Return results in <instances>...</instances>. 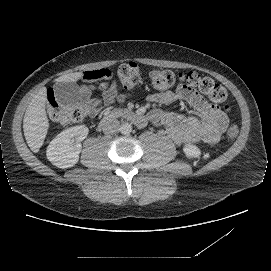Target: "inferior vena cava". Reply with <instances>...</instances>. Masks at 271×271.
<instances>
[{
  "label": "inferior vena cava",
  "instance_id": "602c4592",
  "mask_svg": "<svg viewBox=\"0 0 271 271\" xmlns=\"http://www.w3.org/2000/svg\"><path fill=\"white\" fill-rule=\"evenodd\" d=\"M99 126L102 128L104 134L111 135L118 131L120 123L112 115L108 114L102 119Z\"/></svg>",
  "mask_w": 271,
  "mask_h": 271
}]
</instances>
